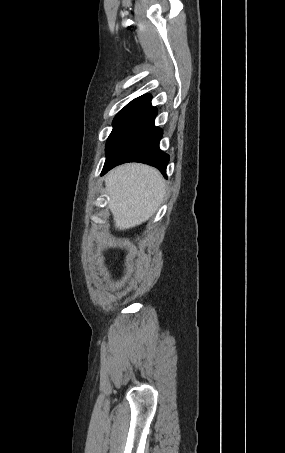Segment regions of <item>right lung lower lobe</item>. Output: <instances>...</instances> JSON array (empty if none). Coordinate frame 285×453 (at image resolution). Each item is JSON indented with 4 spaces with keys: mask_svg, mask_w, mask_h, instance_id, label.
Instances as JSON below:
<instances>
[{
    "mask_svg": "<svg viewBox=\"0 0 285 453\" xmlns=\"http://www.w3.org/2000/svg\"><path fill=\"white\" fill-rule=\"evenodd\" d=\"M156 115L149 94L132 100L116 115L101 175L122 163L141 162L156 167L166 177L169 155L159 148L163 132L154 125Z\"/></svg>",
    "mask_w": 285,
    "mask_h": 453,
    "instance_id": "right-lung-lower-lobe-1",
    "label": "right lung lower lobe"
}]
</instances>
